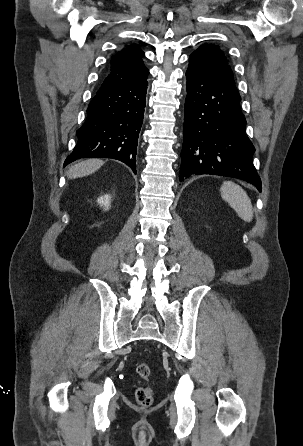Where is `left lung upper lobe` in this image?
I'll use <instances>...</instances> for the list:
<instances>
[{"instance_id": "obj_1", "label": "left lung upper lobe", "mask_w": 303, "mask_h": 446, "mask_svg": "<svg viewBox=\"0 0 303 446\" xmlns=\"http://www.w3.org/2000/svg\"><path fill=\"white\" fill-rule=\"evenodd\" d=\"M190 56L203 60V62L212 69L222 73L227 78L234 81V74L229 65V61L218 46L207 44L202 45Z\"/></svg>"}]
</instances>
